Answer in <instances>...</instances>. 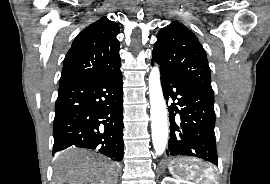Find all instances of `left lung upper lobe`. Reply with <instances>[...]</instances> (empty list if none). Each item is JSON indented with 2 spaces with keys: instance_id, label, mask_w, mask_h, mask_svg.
I'll return each mask as SVG.
<instances>
[{
  "instance_id": "5c2ea615",
  "label": "left lung upper lobe",
  "mask_w": 270,
  "mask_h": 184,
  "mask_svg": "<svg viewBox=\"0 0 270 184\" xmlns=\"http://www.w3.org/2000/svg\"><path fill=\"white\" fill-rule=\"evenodd\" d=\"M152 59L164 67L177 70L214 96L207 56L192 31L172 22L157 34Z\"/></svg>"
}]
</instances>
